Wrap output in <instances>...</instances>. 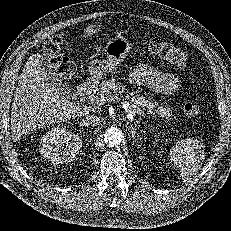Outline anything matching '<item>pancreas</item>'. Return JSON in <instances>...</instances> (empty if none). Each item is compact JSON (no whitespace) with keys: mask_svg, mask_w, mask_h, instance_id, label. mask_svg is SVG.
Returning <instances> with one entry per match:
<instances>
[{"mask_svg":"<svg viewBox=\"0 0 231 231\" xmlns=\"http://www.w3.org/2000/svg\"><path fill=\"white\" fill-rule=\"evenodd\" d=\"M124 94L130 104L129 109L134 115L136 113L142 114L143 110H146L148 114L171 120L173 114L168 105H158L157 102L146 100L143 95L135 94V92H126L125 85L116 82L115 79L102 81L93 88L88 98L91 102L102 104L104 102H115L123 98ZM112 96L116 98H111ZM102 99L103 101H101Z\"/></svg>","mask_w":231,"mask_h":231,"instance_id":"pancreas-1","label":"pancreas"}]
</instances>
